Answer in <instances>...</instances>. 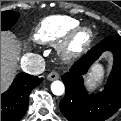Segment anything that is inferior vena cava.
I'll use <instances>...</instances> for the list:
<instances>
[{
    "instance_id": "1",
    "label": "inferior vena cava",
    "mask_w": 121,
    "mask_h": 121,
    "mask_svg": "<svg viewBox=\"0 0 121 121\" xmlns=\"http://www.w3.org/2000/svg\"><path fill=\"white\" fill-rule=\"evenodd\" d=\"M21 68L30 75H39L45 70L44 58L39 54H33L21 62Z\"/></svg>"
}]
</instances>
